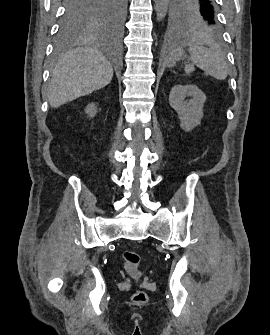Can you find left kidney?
Segmentation results:
<instances>
[{"mask_svg":"<svg viewBox=\"0 0 270 335\" xmlns=\"http://www.w3.org/2000/svg\"><path fill=\"white\" fill-rule=\"evenodd\" d=\"M192 96L191 100H185ZM206 96L197 86H174L169 94V104L178 114L180 126L185 132H190L199 126L203 118V106Z\"/></svg>","mask_w":270,"mask_h":335,"instance_id":"left-kidney-1","label":"left kidney"}]
</instances>
